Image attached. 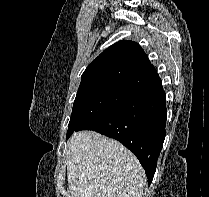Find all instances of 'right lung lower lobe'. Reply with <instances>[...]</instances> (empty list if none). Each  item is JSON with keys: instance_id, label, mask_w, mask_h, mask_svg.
Segmentation results:
<instances>
[{"instance_id": "98d812e1", "label": "right lung lower lobe", "mask_w": 209, "mask_h": 197, "mask_svg": "<svg viewBox=\"0 0 209 197\" xmlns=\"http://www.w3.org/2000/svg\"><path fill=\"white\" fill-rule=\"evenodd\" d=\"M166 117V96L160 82L137 92L75 131L94 130L120 141L136 155L150 184L165 138Z\"/></svg>"}]
</instances>
